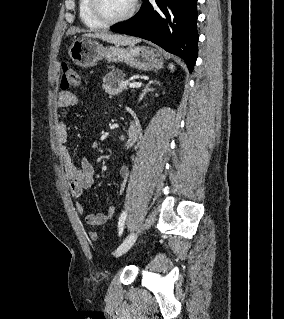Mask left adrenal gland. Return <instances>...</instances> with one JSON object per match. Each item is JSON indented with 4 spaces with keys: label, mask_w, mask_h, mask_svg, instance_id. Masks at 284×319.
I'll list each match as a JSON object with an SVG mask.
<instances>
[{
    "label": "left adrenal gland",
    "mask_w": 284,
    "mask_h": 319,
    "mask_svg": "<svg viewBox=\"0 0 284 319\" xmlns=\"http://www.w3.org/2000/svg\"><path fill=\"white\" fill-rule=\"evenodd\" d=\"M157 83L156 81L150 80L144 87V89L142 90V93L139 95V102L143 100L144 96L146 95V93L150 92V91H154L153 88H150L151 84Z\"/></svg>",
    "instance_id": "1"
}]
</instances>
